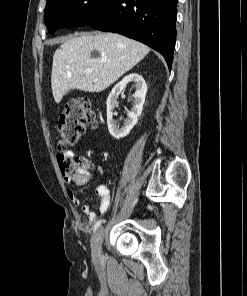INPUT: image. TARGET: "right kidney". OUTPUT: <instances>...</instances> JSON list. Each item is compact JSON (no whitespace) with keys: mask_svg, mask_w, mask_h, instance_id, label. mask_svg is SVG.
<instances>
[{"mask_svg":"<svg viewBox=\"0 0 247 296\" xmlns=\"http://www.w3.org/2000/svg\"><path fill=\"white\" fill-rule=\"evenodd\" d=\"M133 82L136 91L134 93V105L128 113V117L124 122V126L119 128L113 120V110L117 106V99L119 94L126 88L127 84ZM147 93V85L144 78L138 73H131L125 76L119 83H117L107 98V125L110 134L116 138L126 137L132 128L136 125L138 117L142 113L143 104Z\"/></svg>","mask_w":247,"mask_h":296,"instance_id":"ca27d5eb","label":"right kidney"}]
</instances>
